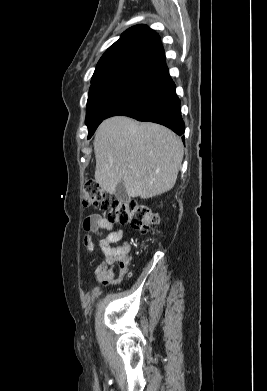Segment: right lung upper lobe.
<instances>
[{
    "mask_svg": "<svg viewBox=\"0 0 267 391\" xmlns=\"http://www.w3.org/2000/svg\"><path fill=\"white\" fill-rule=\"evenodd\" d=\"M167 68L159 35L145 25L127 29L100 58L92 80L116 73L155 76Z\"/></svg>",
    "mask_w": 267,
    "mask_h": 391,
    "instance_id": "cb5924a9",
    "label": "right lung upper lobe"
}]
</instances>
